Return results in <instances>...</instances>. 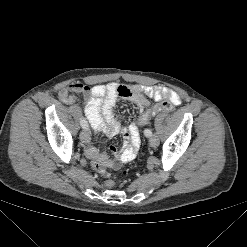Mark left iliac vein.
<instances>
[{
  "label": "left iliac vein",
  "mask_w": 247,
  "mask_h": 247,
  "mask_svg": "<svg viewBox=\"0 0 247 247\" xmlns=\"http://www.w3.org/2000/svg\"><path fill=\"white\" fill-rule=\"evenodd\" d=\"M158 143H159V141H158L157 136H156V135H152V136L150 137V139H149V144H150V146L153 147V148H155V147L158 146Z\"/></svg>",
  "instance_id": "left-iliac-vein-1"
}]
</instances>
